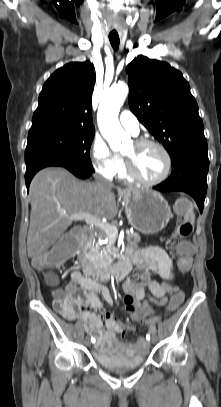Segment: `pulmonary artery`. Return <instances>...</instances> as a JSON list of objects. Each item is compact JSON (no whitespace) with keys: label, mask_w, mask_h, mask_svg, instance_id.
<instances>
[{"label":"pulmonary artery","mask_w":221,"mask_h":407,"mask_svg":"<svg viewBox=\"0 0 221 407\" xmlns=\"http://www.w3.org/2000/svg\"><path fill=\"white\" fill-rule=\"evenodd\" d=\"M119 120L121 125L133 135L139 133V122L132 112L124 110L120 114Z\"/></svg>","instance_id":"e3ab8cb5"}]
</instances>
